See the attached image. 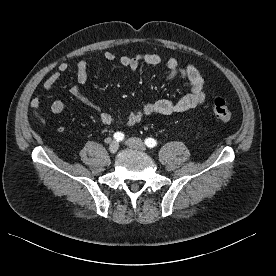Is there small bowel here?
<instances>
[{
  "label": "small bowel",
  "mask_w": 276,
  "mask_h": 276,
  "mask_svg": "<svg viewBox=\"0 0 276 276\" xmlns=\"http://www.w3.org/2000/svg\"><path fill=\"white\" fill-rule=\"evenodd\" d=\"M104 59L112 62L116 59V55L111 51L104 53ZM162 59L158 54H140L136 56H121L119 63L128 68L132 72H136L140 64L156 66L161 64ZM164 66L168 71L167 80H172L180 77L190 85V92L182 97L177 102L168 100H158L145 105L141 110L129 112L123 119H116L111 114L101 111L100 107L89 99L80 89L78 85H73L70 88V93L80 100L82 103L93 109L103 124L110 125L114 123H124L129 126L136 125L146 116L150 115H171L174 113L189 112L195 109L198 105L204 102L206 94L204 91V81L200 72L193 65L181 67L174 58H168L164 62ZM71 65L67 62H62L58 66V70L51 73L44 82L45 91L49 92L57 83L60 73L69 70ZM76 80L79 84H84L88 81V66L85 60H79L75 65ZM34 109L40 108V101L34 97L30 103ZM65 103L61 100H55L51 104V111L55 115H61L65 112Z\"/></svg>",
  "instance_id": "small-bowel-1"
}]
</instances>
